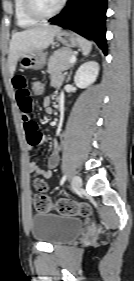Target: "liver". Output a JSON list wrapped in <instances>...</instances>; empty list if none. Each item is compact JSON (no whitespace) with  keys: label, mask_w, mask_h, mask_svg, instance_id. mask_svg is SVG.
<instances>
[{"label":"liver","mask_w":134,"mask_h":281,"mask_svg":"<svg viewBox=\"0 0 134 281\" xmlns=\"http://www.w3.org/2000/svg\"><path fill=\"white\" fill-rule=\"evenodd\" d=\"M60 30V27L54 25H40L14 33L10 41L8 55L10 75L14 74L17 62L23 54L42 52L47 49Z\"/></svg>","instance_id":"obj_1"}]
</instances>
